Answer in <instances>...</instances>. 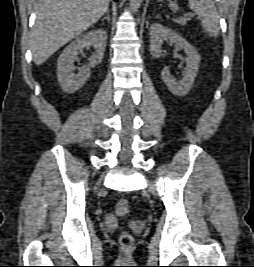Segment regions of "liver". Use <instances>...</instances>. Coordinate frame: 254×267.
Listing matches in <instances>:
<instances>
[{
  "instance_id": "obj_1",
  "label": "liver",
  "mask_w": 254,
  "mask_h": 267,
  "mask_svg": "<svg viewBox=\"0 0 254 267\" xmlns=\"http://www.w3.org/2000/svg\"><path fill=\"white\" fill-rule=\"evenodd\" d=\"M109 0H40L31 31L36 65L95 24L108 10Z\"/></svg>"
}]
</instances>
